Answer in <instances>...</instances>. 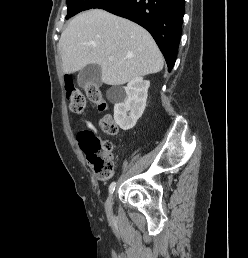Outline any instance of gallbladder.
Returning <instances> with one entry per match:
<instances>
[{
	"label": "gallbladder",
	"mask_w": 248,
	"mask_h": 258,
	"mask_svg": "<svg viewBox=\"0 0 248 258\" xmlns=\"http://www.w3.org/2000/svg\"><path fill=\"white\" fill-rule=\"evenodd\" d=\"M81 88H86L93 84L99 86L101 84V67L98 64H88L81 69L77 79Z\"/></svg>",
	"instance_id": "1"
}]
</instances>
